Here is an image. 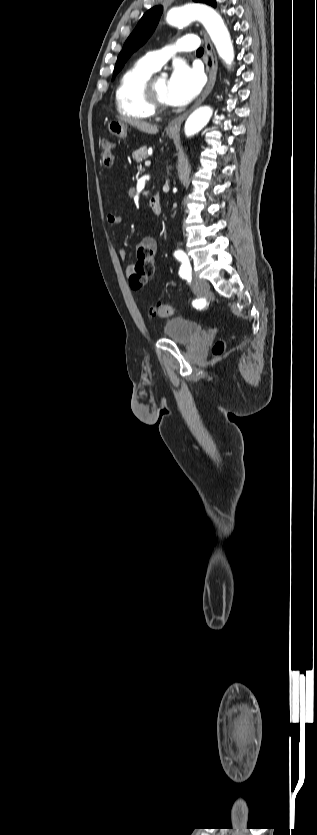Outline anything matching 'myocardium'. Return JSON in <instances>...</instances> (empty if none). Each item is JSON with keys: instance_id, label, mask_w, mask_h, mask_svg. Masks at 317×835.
Returning a JSON list of instances; mask_svg holds the SVG:
<instances>
[{"instance_id": "1", "label": "myocardium", "mask_w": 317, "mask_h": 835, "mask_svg": "<svg viewBox=\"0 0 317 835\" xmlns=\"http://www.w3.org/2000/svg\"><path fill=\"white\" fill-rule=\"evenodd\" d=\"M156 78L157 76H151L148 79L144 87V93L150 106L157 112H163L168 109V103L162 101L155 90Z\"/></svg>"}]
</instances>
